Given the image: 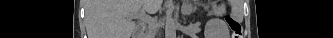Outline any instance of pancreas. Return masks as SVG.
Returning <instances> with one entry per match:
<instances>
[{
  "mask_svg": "<svg viewBox=\"0 0 333 38\" xmlns=\"http://www.w3.org/2000/svg\"><path fill=\"white\" fill-rule=\"evenodd\" d=\"M153 29H154V26L151 25V26L149 27V30H148V35H149V36L152 34Z\"/></svg>",
  "mask_w": 333,
  "mask_h": 38,
  "instance_id": "pancreas-1",
  "label": "pancreas"
}]
</instances>
